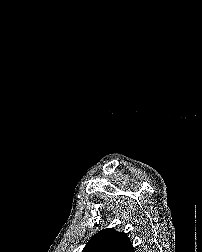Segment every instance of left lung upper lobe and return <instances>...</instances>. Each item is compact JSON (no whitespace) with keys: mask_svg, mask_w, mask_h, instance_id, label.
<instances>
[{"mask_svg":"<svg viewBox=\"0 0 202 252\" xmlns=\"http://www.w3.org/2000/svg\"><path fill=\"white\" fill-rule=\"evenodd\" d=\"M82 252H135L128 236L123 232L106 228L86 243Z\"/></svg>","mask_w":202,"mask_h":252,"instance_id":"5c2ea615","label":"left lung upper lobe"}]
</instances>
